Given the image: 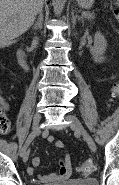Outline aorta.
I'll list each match as a JSON object with an SVG mask.
<instances>
[{"instance_id":"1","label":"aorta","mask_w":119,"mask_h":185,"mask_svg":"<svg viewBox=\"0 0 119 185\" xmlns=\"http://www.w3.org/2000/svg\"><path fill=\"white\" fill-rule=\"evenodd\" d=\"M67 0H53L52 1V5H53V9H54V13L56 15H60L64 6H65V3H66Z\"/></svg>"}]
</instances>
